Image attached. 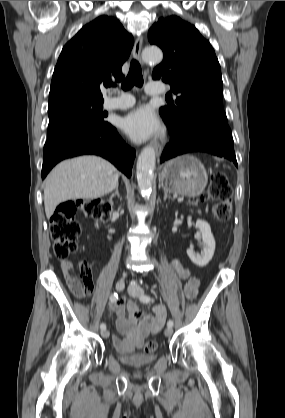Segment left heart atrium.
I'll return each mask as SVG.
<instances>
[{
	"label": "left heart atrium",
	"instance_id": "left-heart-atrium-1",
	"mask_svg": "<svg viewBox=\"0 0 285 418\" xmlns=\"http://www.w3.org/2000/svg\"><path fill=\"white\" fill-rule=\"evenodd\" d=\"M122 128L133 141L143 142L160 132L161 123L150 107L140 106L123 119Z\"/></svg>",
	"mask_w": 285,
	"mask_h": 418
}]
</instances>
